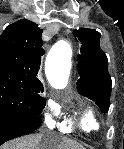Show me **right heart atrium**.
I'll return each mask as SVG.
<instances>
[{
    "label": "right heart atrium",
    "instance_id": "d8ad5b80",
    "mask_svg": "<svg viewBox=\"0 0 124 149\" xmlns=\"http://www.w3.org/2000/svg\"><path fill=\"white\" fill-rule=\"evenodd\" d=\"M45 123L47 126L51 127L54 125L53 116L51 111H47L44 117Z\"/></svg>",
    "mask_w": 124,
    "mask_h": 149
}]
</instances>
